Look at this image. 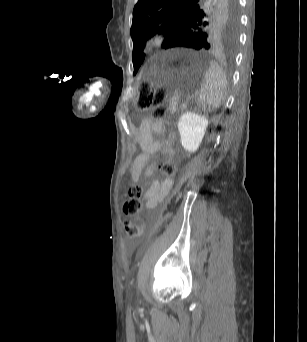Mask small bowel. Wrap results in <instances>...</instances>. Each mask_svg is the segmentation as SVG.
<instances>
[{
    "instance_id": "1",
    "label": "small bowel",
    "mask_w": 307,
    "mask_h": 342,
    "mask_svg": "<svg viewBox=\"0 0 307 342\" xmlns=\"http://www.w3.org/2000/svg\"><path fill=\"white\" fill-rule=\"evenodd\" d=\"M138 141L142 153L135 158L130 170L134 183L140 181L143 173L148 177L154 175L156 165L149 162L151 157L159 156L171 145L170 140L165 137V128L162 121L151 117H147L141 122L138 131ZM170 185V179H166L163 183L154 181L144 195L146 208L153 209L156 207L164 199Z\"/></svg>"
}]
</instances>
